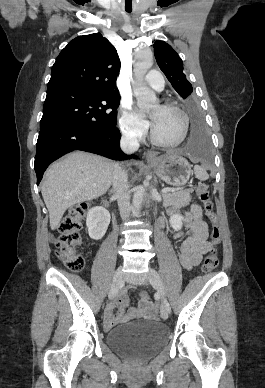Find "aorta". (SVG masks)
Segmentation results:
<instances>
[{
    "mask_svg": "<svg viewBox=\"0 0 265 388\" xmlns=\"http://www.w3.org/2000/svg\"><path fill=\"white\" fill-rule=\"evenodd\" d=\"M153 64V54L150 50L139 51L136 54L134 62L135 82L133 84L134 95L137 98L138 104L142 107H150L156 101L155 93L149 89L145 82L144 76L148 69ZM145 189L143 186H138L133 195V206L136 211L141 208Z\"/></svg>",
    "mask_w": 265,
    "mask_h": 388,
    "instance_id": "1",
    "label": "aorta"
}]
</instances>
